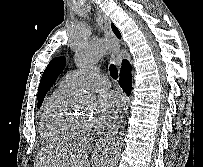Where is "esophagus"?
Masks as SVG:
<instances>
[{"mask_svg": "<svg viewBox=\"0 0 203 167\" xmlns=\"http://www.w3.org/2000/svg\"><path fill=\"white\" fill-rule=\"evenodd\" d=\"M103 23H104V34H105L106 39L109 42V46H110L109 50H110L111 57L117 65H120V63H121L120 43L112 31L110 19L104 16ZM128 105H129V99L127 96H124L122 112H121L117 122L104 136H102L98 140V142L96 143L95 148H94L95 152H101L105 148L107 142L114 136L115 133H117V131H118L119 127L121 126V124L125 118V115L127 113Z\"/></svg>", "mask_w": 203, "mask_h": 167, "instance_id": "obj_1", "label": "esophagus"}]
</instances>
